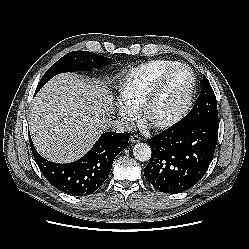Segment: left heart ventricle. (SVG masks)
<instances>
[{"mask_svg":"<svg viewBox=\"0 0 249 249\" xmlns=\"http://www.w3.org/2000/svg\"><path fill=\"white\" fill-rule=\"evenodd\" d=\"M191 76L187 69L176 71L168 80L161 98L154 106L151 116L161 120L172 115L181 105L189 88Z\"/></svg>","mask_w":249,"mask_h":249,"instance_id":"1","label":"left heart ventricle"}]
</instances>
